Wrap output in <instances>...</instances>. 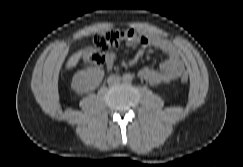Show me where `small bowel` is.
Masks as SVG:
<instances>
[{"instance_id": "obj_1", "label": "small bowel", "mask_w": 243, "mask_h": 167, "mask_svg": "<svg viewBox=\"0 0 243 167\" xmlns=\"http://www.w3.org/2000/svg\"><path fill=\"white\" fill-rule=\"evenodd\" d=\"M130 38L126 46L154 47L166 54L167 58L158 69L144 67L139 71V76L151 85L169 83L181 76L185 70L184 62L179 49L169 40L140 29H130ZM116 60V53L109 51L105 57L106 67L111 69Z\"/></svg>"}]
</instances>
